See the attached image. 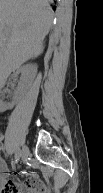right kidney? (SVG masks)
Listing matches in <instances>:
<instances>
[{
    "label": "right kidney",
    "mask_w": 103,
    "mask_h": 193,
    "mask_svg": "<svg viewBox=\"0 0 103 193\" xmlns=\"http://www.w3.org/2000/svg\"><path fill=\"white\" fill-rule=\"evenodd\" d=\"M36 71H37V66L36 65H33V64H28V65H26V66H24V67H22L21 69H20V72L22 73V74H31V75H33V74H35L36 73ZM19 86L20 87H23L24 86V83H23V80L19 83ZM13 103L12 104H5L3 107H2V111H5V110H7V109H11L12 107H13Z\"/></svg>",
    "instance_id": "obj_1"
}]
</instances>
